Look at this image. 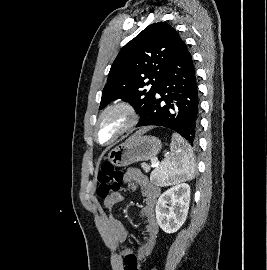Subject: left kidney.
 <instances>
[{"label":"left kidney","instance_id":"5707ae66","mask_svg":"<svg viewBox=\"0 0 267 270\" xmlns=\"http://www.w3.org/2000/svg\"><path fill=\"white\" fill-rule=\"evenodd\" d=\"M189 203L190 186L187 183L177 184L160 195L155 208L156 219L165 233L180 229L186 220Z\"/></svg>","mask_w":267,"mask_h":270}]
</instances>
